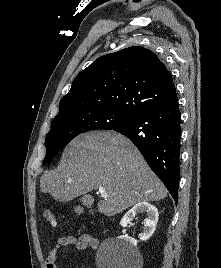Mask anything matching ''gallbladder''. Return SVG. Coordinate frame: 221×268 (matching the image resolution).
<instances>
[{
    "label": "gallbladder",
    "mask_w": 221,
    "mask_h": 268,
    "mask_svg": "<svg viewBox=\"0 0 221 268\" xmlns=\"http://www.w3.org/2000/svg\"><path fill=\"white\" fill-rule=\"evenodd\" d=\"M92 201H93V199L90 196H85L82 199L83 204L86 205V206H90Z\"/></svg>",
    "instance_id": "1"
}]
</instances>
